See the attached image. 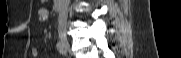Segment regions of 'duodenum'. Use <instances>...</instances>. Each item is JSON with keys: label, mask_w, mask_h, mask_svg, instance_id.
<instances>
[{"label": "duodenum", "mask_w": 181, "mask_h": 58, "mask_svg": "<svg viewBox=\"0 0 181 58\" xmlns=\"http://www.w3.org/2000/svg\"><path fill=\"white\" fill-rule=\"evenodd\" d=\"M64 0H54V7L58 12H61L63 9Z\"/></svg>", "instance_id": "1"}]
</instances>
